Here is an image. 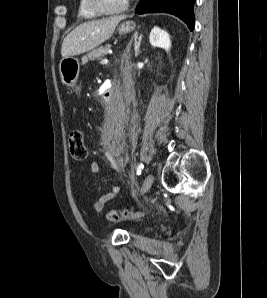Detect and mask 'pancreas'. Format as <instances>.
<instances>
[{"label": "pancreas", "mask_w": 267, "mask_h": 298, "mask_svg": "<svg viewBox=\"0 0 267 298\" xmlns=\"http://www.w3.org/2000/svg\"><path fill=\"white\" fill-rule=\"evenodd\" d=\"M111 48V45L107 44L105 46H100L97 49H94L93 51L87 53L82 59V64L87 63L88 60H99L101 57L108 54L109 50Z\"/></svg>", "instance_id": "obj_1"}]
</instances>
